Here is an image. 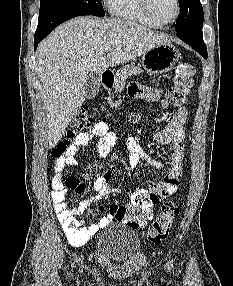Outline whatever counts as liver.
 <instances>
[{"label": "liver", "instance_id": "obj_1", "mask_svg": "<svg viewBox=\"0 0 233 286\" xmlns=\"http://www.w3.org/2000/svg\"><path fill=\"white\" fill-rule=\"evenodd\" d=\"M168 41L165 35L119 18L78 17L56 28L37 49L50 148L59 143L85 101L89 73L125 64ZM105 46L112 47L107 55Z\"/></svg>", "mask_w": 233, "mask_h": 286}]
</instances>
